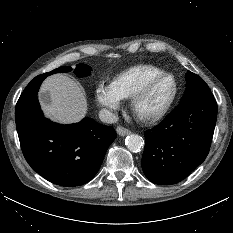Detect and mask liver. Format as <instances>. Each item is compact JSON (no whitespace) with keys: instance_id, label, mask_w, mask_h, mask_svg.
<instances>
[{"instance_id":"6515ba94","label":"liver","mask_w":233,"mask_h":233,"mask_svg":"<svg viewBox=\"0 0 233 233\" xmlns=\"http://www.w3.org/2000/svg\"><path fill=\"white\" fill-rule=\"evenodd\" d=\"M41 92H49L50 103L41 101V105L50 119L70 124L85 117L88 109L85 93L71 78L63 74L52 75L42 84Z\"/></svg>"}]
</instances>
